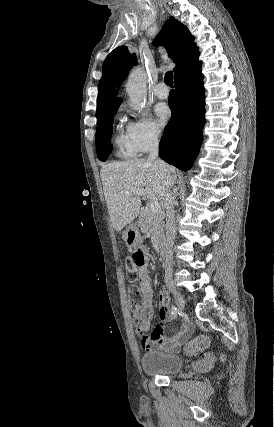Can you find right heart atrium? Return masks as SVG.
Listing matches in <instances>:
<instances>
[{
	"instance_id": "d8ad5b80",
	"label": "right heart atrium",
	"mask_w": 274,
	"mask_h": 427,
	"mask_svg": "<svg viewBox=\"0 0 274 427\" xmlns=\"http://www.w3.org/2000/svg\"><path fill=\"white\" fill-rule=\"evenodd\" d=\"M126 131L138 152H147L155 147L160 140V135L153 124L141 118L129 122Z\"/></svg>"
}]
</instances>
